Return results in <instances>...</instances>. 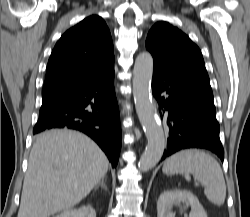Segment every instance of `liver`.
Returning <instances> with one entry per match:
<instances>
[{
    "mask_svg": "<svg viewBox=\"0 0 250 217\" xmlns=\"http://www.w3.org/2000/svg\"><path fill=\"white\" fill-rule=\"evenodd\" d=\"M109 162L90 138L55 129L37 136L24 178L18 217H49L85 198Z\"/></svg>",
    "mask_w": 250,
    "mask_h": 217,
    "instance_id": "obj_1",
    "label": "liver"
}]
</instances>
